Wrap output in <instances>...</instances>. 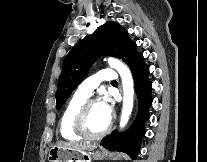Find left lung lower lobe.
Here are the masks:
<instances>
[{
	"label": "left lung lower lobe",
	"instance_id": "1",
	"mask_svg": "<svg viewBox=\"0 0 207 162\" xmlns=\"http://www.w3.org/2000/svg\"><path fill=\"white\" fill-rule=\"evenodd\" d=\"M135 90L138 97V113L130 129L118 134L113 131L102 139L103 146L112 151H122L135 159L144 135V124L149 118L148 109L152 103L151 83L148 80L149 69L143 62V56L138 55L130 64Z\"/></svg>",
	"mask_w": 207,
	"mask_h": 162
}]
</instances>
